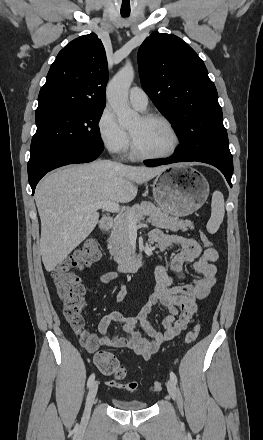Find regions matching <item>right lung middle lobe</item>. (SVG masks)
<instances>
[{"instance_id": "right-lung-middle-lobe-1", "label": "right lung middle lobe", "mask_w": 263, "mask_h": 440, "mask_svg": "<svg viewBox=\"0 0 263 440\" xmlns=\"http://www.w3.org/2000/svg\"><path fill=\"white\" fill-rule=\"evenodd\" d=\"M104 107H55L36 110L28 173L62 151L102 144L98 122Z\"/></svg>"}]
</instances>
